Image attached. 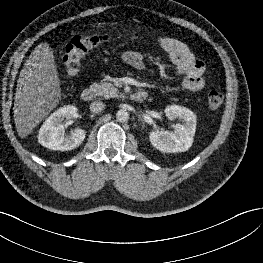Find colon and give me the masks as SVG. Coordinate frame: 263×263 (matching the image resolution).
<instances>
[{
    "label": "colon",
    "instance_id": "colon-1",
    "mask_svg": "<svg viewBox=\"0 0 263 263\" xmlns=\"http://www.w3.org/2000/svg\"><path fill=\"white\" fill-rule=\"evenodd\" d=\"M132 35L140 36L137 32L132 33ZM108 39L109 36L105 34H79L72 37L65 48L63 56L66 75L73 76L77 74L88 51ZM223 100L224 96L221 92L212 90L207 95V106L210 110H217L222 105Z\"/></svg>",
    "mask_w": 263,
    "mask_h": 263
}]
</instances>
